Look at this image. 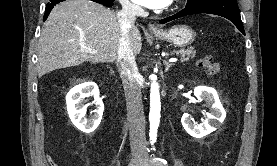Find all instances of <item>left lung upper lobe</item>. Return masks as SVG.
Listing matches in <instances>:
<instances>
[{
    "label": "left lung upper lobe",
    "instance_id": "obj_1",
    "mask_svg": "<svg viewBox=\"0 0 277 166\" xmlns=\"http://www.w3.org/2000/svg\"><path fill=\"white\" fill-rule=\"evenodd\" d=\"M202 1H205V0H188L186 7H190V6L196 5V4H198V3L202 2Z\"/></svg>",
    "mask_w": 277,
    "mask_h": 166
}]
</instances>
